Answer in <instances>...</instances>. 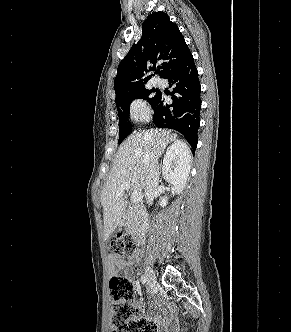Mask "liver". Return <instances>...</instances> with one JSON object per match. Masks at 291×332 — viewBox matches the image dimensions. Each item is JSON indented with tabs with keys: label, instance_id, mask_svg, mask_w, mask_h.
<instances>
[{
	"label": "liver",
	"instance_id": "6515ba94",
	"mask_svg": "<svg viewBox=\"0 0 291 332\" xmlns=\"http://www.w3.org/2000/svg\"><path fill=\"white\" fill-rule=\"evenodd\" d=\"M176 135L167 130H150L131 134L119 147L108 180L101 192L104 237L107 239L125 217L127 201L121 184L128 182L132 191L146 187L151 158L163 154L168 143L176 142ZM186 146V145H185ZM191 156L189 148L186 146Z\"/></svg>",
	"mask_w": 291,
	"mask_h": 332
}]
</instances>
